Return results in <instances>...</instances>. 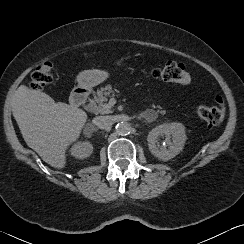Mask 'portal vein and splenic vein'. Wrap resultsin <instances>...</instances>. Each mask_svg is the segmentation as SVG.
I'll use <instances>...</instances> for the list:
<instances>
[{
	"mask_svg": "<svg viewBox=\"0 0 244 244\" xmlns=\"http://www.w3.org/2000/svg\"><path fill=\"white\" fill-rule=\"evenodd\" d=\"M109 105H110V106H112V105H113V103H112V102H109Z\"/></svg>",
	"mask_w": 244,
	"mask_h": 244,
	"instance_id": "obj_1",
	"label": "portal vein and splenic vein"
}]
</instances>
